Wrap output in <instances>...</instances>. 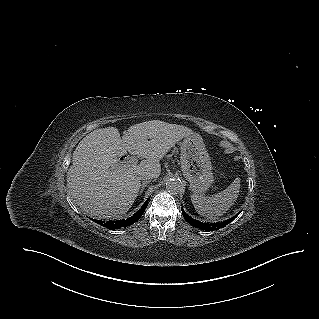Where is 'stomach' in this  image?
<instances>
[{
	"label": "stomach",
	"mask_w": 319,
	"mask_h": 319,
	"mask_svg": "<svg viewBox=\"0 0 319 319\" xmlns=\"http://www.w3.org/2000/svg\"><path fill=\"white\" fill-rule=\"evenodd\" d=\"M181 170L196 194L204 193L213 183L209 154L199 134L185 136L181 143Z\"/></svg>",
	"instance_id": "obj_1"
}]
</instances>
